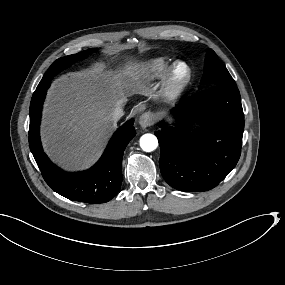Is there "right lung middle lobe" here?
I'll return each instance as SVG.
<instances>
[{
	"instance_id": "obj_1",
	"label": "right lung middle lobe",
	"mask_w": 285,
	"mask_h": 285,
	"mask_svg": "<svg viewBox=\"0 0 285 285\" xmlns=\"http://www.w3.org/2000/svg\"><path fill=\"white\" fill-rule=\"evenodd\" d=\"M92 51L93 49H89L86 52L82 51L77 54H73V55H69V56L57 59L55 62L52 63L50 68L47 70L46 74L43 76L39 85L48 84L52 80V78L55 75H57L61 70L69 67L71 64L75 63L76 61L87 57V55Z\"/></svg>"
}]
</instances>
